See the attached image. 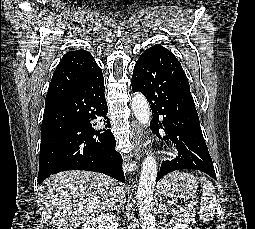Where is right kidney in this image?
I'll return each mask as SVG.
<instances>
[{"instance_id": "right-kidney-1", "label": "right kidney", "mask_w": 255, "mask_h": 229, "mask_svg": "<svg viewBox=\"0 0 255 229\" xmlns=\"http://www.w3.org/2000/svg\"><path fill=\"white\" fill-rule=\"evenodd\" d=\"M118 217L112 213L99 215L85 222L82 229H117Z\"/></svg>"}]
</instances>
